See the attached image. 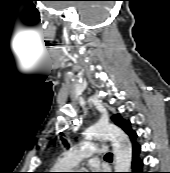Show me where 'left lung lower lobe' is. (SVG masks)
<instances>
[{
  "mask_svg": "<svg viewBox=\"0 0 170 173\" xmlns=\"http://www.w3.org/2000/svg\"><path fill=\"white\" fill-rule=\"evenodd\" d=\"M141 147L139 144H133V158H132V172L131 173H145L142 171L143 162L139 157Z\"/></svg>",
  "mask_w": 170,
  "mask_h": 173,
  "instance_id": "obj_1",
  "label": "left lung lower lobe"
}]
</instances>
